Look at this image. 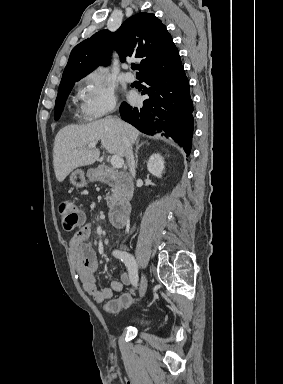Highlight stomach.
<instances>
[{
  "instance_id": "1",
  "label": "stomach",
  "mask_w": 283,
  "mask_h": 384,
  "mask_svg": "<svg viewBox=\"0 0 283 384\" xmlns=\"http://www.w3.org/2000/svg\"><path fill=\"white\" fill-rule=\"evenodd\" d=\"M94 174V170H88L87 178H89V180H94ZM70 182L73 186H76V188H84L87 184L84 172H82V170H75V172H72Z\"/></svg>"
}]
</instances>
